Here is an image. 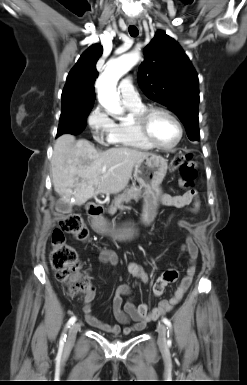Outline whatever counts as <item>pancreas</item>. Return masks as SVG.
I'll list each match as a JSON object with an SVG mask.
<instances>
[{
  "mask_svg": "<svg viewBox=\"0 0 247 385\" xmlns=\"http://www.w3.org/2000/svg\"><path fill=\"white\" fill-rule=\"evenodd\" d=\"M141 194V190L134 186L126 188L122 194H119L114 198L108 212L111 215H114L122 202L129 203L132 199L138 201L141 197Z\"/></svg>",
  "mask_w": 247,
  "mask_h": 385,
  "instance_id": "1",
  "label": "pancreas"
}]
</instances>
